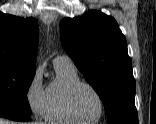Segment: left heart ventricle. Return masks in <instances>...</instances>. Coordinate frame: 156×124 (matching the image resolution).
<instances>
[{"mask_svg": "<svg viewBox=\"0 0 156 124\" xmlns=\"http://www.w3.org/2000/svg\"><path fill=\"white\" fill-rule=\"evenodd\" d=\"M75 105L81 116L87 120L95 119L101 111L99 98L88 88H81L78 91Z\"/></svg>", "mask_w": 156, "mask_h": 124, "instance_id": "left-heart-ventricle-1", "label": "left heart ventricle"}]
</instances>
